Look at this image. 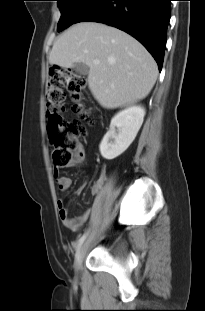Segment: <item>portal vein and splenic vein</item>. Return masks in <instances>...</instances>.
Masks as SVG:
<instances>
[{
  "label": "portal vein and splenic vein",
  "mask_w": 205,
  "mask_h": 311,
  "mask_svg": "<svg viewBox=\"0 0 205 311\" xmlns=\"http://www.w3.org/2000/svg\"><path fill=\"white\" fill-rule=\"evenodd\" d=\"M93 63H94V64H99L100 61H99V60H94Z\"/></svg>",
  "instance_id": "1"
}]
</instances>
